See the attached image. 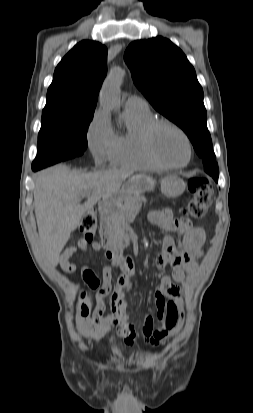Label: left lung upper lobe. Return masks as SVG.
Here are the masks:
<instances>
[{
  "label": "left lung upper lobe",
  "mask_w": 253,
  "mask_h": 413,
  "mask_svg": "<svg viewBox=\"0 0 253 413\" xmlns=\"http://www.w3.org/2000/svg\"><path fill=\"white\" fill-rule=\"evenodd\" d=\"M124 59L137 88L159 113L183 129L202 158L205 172L218 177L203 90L185 54L158 36L132 42Z\"/></svg>",
  "instance_id": "5c2ea615"
}]
</instances>
